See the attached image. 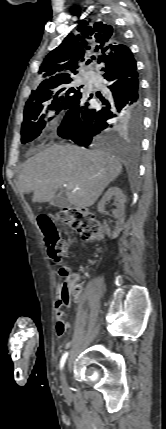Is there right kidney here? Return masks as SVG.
Returning <instances> with one entry per match:
<instances>
[{"mask_svg": "<svg viewBox=\"0 0 166 429\" xmlns=\"http://www.w3.org/2000/svg\"><path fill=\"white\" fill-rule=\"evenodd\" d=\"M114 198L115 201L117 202L116 206L117 208L115 210H113V215L114 217L117 219L116 222V226L114 228L113 231H110L109 229H106L107 234L110 238L115 239L118 237L119 233L123 230L124 228V223H125V216H124V204L126 202V195L123 193V191L116 187H110L104 194V196L102 197V199L100 200V202L98 203V211L100 213H103L105 210V204L111 199Z\"/></svg>", "mask_w": 166, "mask_h": 429, "instance_id": "obj_1", "label": "right kidney"}]
</instances>
